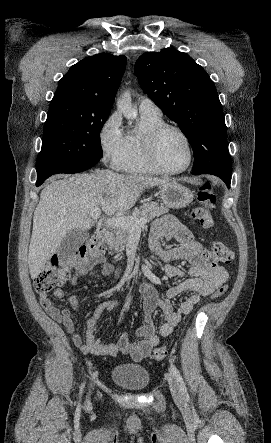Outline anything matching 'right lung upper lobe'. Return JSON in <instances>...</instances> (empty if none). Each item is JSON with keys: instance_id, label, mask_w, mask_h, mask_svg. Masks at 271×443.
<instances>
[{"instance_id": "obj_1", "label": "right lung upper lobe", "mask_w": 271, "mask_h": 443, "mask_svg": "<svg viewBox=\"0 0 271 443\" xmlns=\"http://www.w3.org/2000/svg\"><path fill=\"white\" fill-rule=\"evenodd\" d=\"M126 67V57L98 54L73 65L58 82L50 105L72 103L90 114H108Z\"/></svg>"}]
</instances>
